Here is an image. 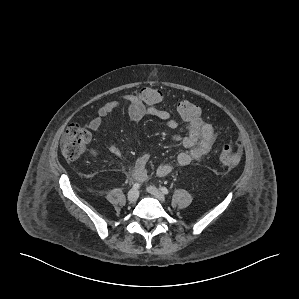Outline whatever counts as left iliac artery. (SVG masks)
I'll return each instance as SVG.
<instances>
[{"label": "left iliac artery", "mask_w": 299, "mask_h": 299, "mask_svg": "<svg viewBox=\"0 0 299 299\" xmlns=\"http://www.w3.org/2000/svg\"><path fill=\"white\" fill-rule=\"evenodd\" d=\"M161 191H162V193H164V194H168V193H169V191H168V189H167L166 187H162V188H161Z\"/></svg>", "instance_id": "1"}]
</instances>
